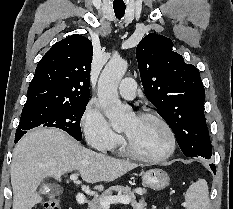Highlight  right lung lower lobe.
<instances>
[{
	"label": "right lung lower lobe",
	"mask_w": 233,
	"mask_h": 209,
	"mask_svg": "<svg viewBox=\"0 0 233 209\" xmlns=\"http://www.w3.org/2000/svg\"><path fill=\"white\" fill-rule=\"evenodd\" d=\"M22 136H23V135H22ZM22 136H20V137H15V143H17V142L19 141V139H20Z\"/></svg>",
	"instance_id": "98d812e1"
}]
</instances>
